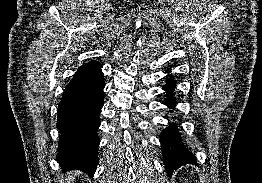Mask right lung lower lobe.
Here are the masks:
<instances>
[{
	"label": "right lung lower lobe",
	"mask_w": 262,
	"mask_h": 183,
	"mask_svg": "<svg viewBox=\"0 0 262 183\" xmlns=\"http://www.w3.org/2000/svg\"><path fill=\"white\" fill-rule=\"evenodd\" d=\"M101 68L97 61L78 68L58 106L61 137L56 159L63 171L77 169L93 175L96 170L100 142L97 130L105 87Z\"/></svg>",
	"instance_id": "98d812e1"
}]
</instances>
